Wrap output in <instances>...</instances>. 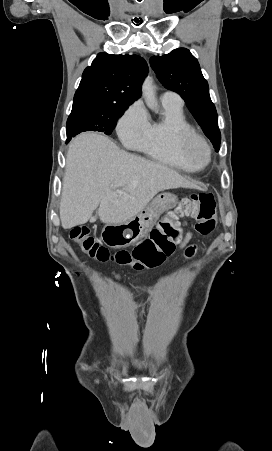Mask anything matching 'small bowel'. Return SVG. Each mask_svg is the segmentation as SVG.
Returning <instances> with one entry per match:
<instances>
[{"mask_svg":"<svg viewBox=\"0 0 272 451\" xmlns=\"http://www.w3.org/2000/svg\"><path fill=\"white\" fill-rule=\"evenodd\" d=\"M193 236L194 233L192 231H188L179 243V249L183 252L184 257L188 259L192 258L197 250L196 245L190 244ZM111 274L116 280H121V275L117 271H112Z\"/></svg>","mask_w":272,"mask_h":451,"instance_id":"c3829d8e","label":"small bowel"}]
</instances>
